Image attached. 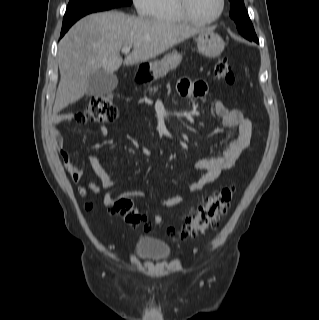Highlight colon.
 Instances as JSON below:
<instances>
[{
	"instance_id": "obj_1",
	"label": "colon",
	"mask_w": 319,
	"mask_h": 320,
	"mask_svg": "<svg viewBox=\"0 0 319 320\" xmlns=\"http://www.w3.org/2000/svg\"><path fill=\"white\" fill-rule=\"evenodd\" d=\"M214 77L226 84L234 83L235 76L227 59L221 58L214 67ZM117 108L110 93L94 95L90 98L86 108L77 114L80 123H108L117 117ZM233 196L232 187H223L211 195L199 206L197 211L185 217L180 229L170 228V234L185 239L205 234L214 229L218 222L226 215ZM113 208L121 214L125 222L131 226L143 227L151 230L155 222L142 214L129 198L123 197L115 201Z\"/></svg>"
}]
</instances>
